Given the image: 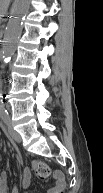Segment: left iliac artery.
Here are the masks:
<instances>
[{
	"label": "left iliac artery",
	"mask_w": 103,
	"mask_h": 193,
	"mask_svg": "<svg viewBox=\"0 0 103 193\" xmlns=\"http://www.w3.org/2000/svg\"><path fill=\"white\" fill-rule=\"evenodd\" d=\"M1 118L5 124L10 123V117L7 111L1 113Z\"/></svg>",
	"instance_id": "left-iliac-artery-1"
}]
</instances>
